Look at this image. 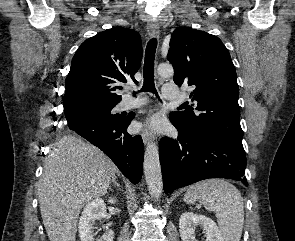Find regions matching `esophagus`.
Listing matches in <instances>:
<instances>
[{"mask_svg":"<svg viewBox=\"0 0 295 241\" xmlns=\"http://www.w3.org/2000/svg\"><path fill=\"white\" fill-rule=\"evenodd\" d=\"M147 31L150 37L158 38L160 35L159 24L154 20H149L147 23ZM144 144H147L152 139L150 129L144 128L141 132Z\"/></svg>","mask_w":295,"mask_h":241,"instance_id":"34e87169","label":"esophagus"}]
</instances>
